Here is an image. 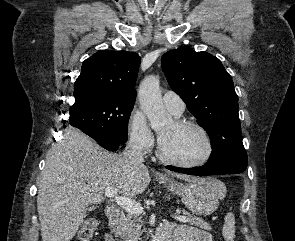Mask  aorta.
<instances>
[{
    "mask_svg": "<svg viewBox=\"0 0 295 241\" xmlns=\"http://www.w3.org/2000/svg\"><path fill=\"white\" fill-rule=\"evenodd\" d=\"M139 101L143 112L154 130H160L172 122V117L163 106L160 80L157 76H147L139 86Z\"/></svg>",
    "mask_w": 295,
    "mask_h": 241,
    "instance_id": "1",
    "label": "aorta"
}]
</instances>
